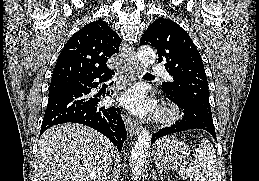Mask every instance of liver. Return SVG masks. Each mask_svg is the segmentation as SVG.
Wrapping results in <instances>:
<instances>
[{
    "mask_svg": "<svg viewBox=\"0 0 259 181\" xmlns=\"http://www.w3.org/2000/svg\"><path fill=\"white\" fill-rule=\"evenodd\" d=\"M38 147L41 181H103L115 149L101 133L75 123L49 128Z\"/></svg>",
    "mask_w": 259,
    "mask_h": 181,
    "instance_id": "liver-1",
    "label": "liver"
}]
</instances>
